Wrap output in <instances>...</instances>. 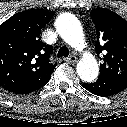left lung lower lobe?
Masks as SVG:
<instances>
[{"label": "left lung lower lobe", "mask_w": 127, "mask_h": 127, "mask_svg": "<svg viewBox=\"0 0 127 127\" xmlns=\"http://www.w3.org/2000/svg\"><path fill=\"white\" fill-rule=\"evenodd\" d=\"M83 86L89 92L101 97H108L117 94L127 87L104 76H99L97 81L94 83H83Z\"/></svg>", "instance_id": "1"}]
</instances>
